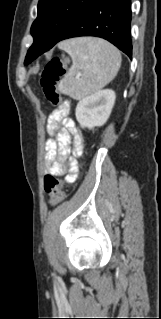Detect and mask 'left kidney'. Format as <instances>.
<instances>
[{"instance_id":"5707ae66","label":"left kidney","mask_w":161,"mask_h":319,"mask_svg":"<svg viewBox=\"0 0 161 319\" xmlns=\"http://www.w3.org/2000/svg\"><path fill=\"white\" fill-rule=\"evenodd\" d=\"M116 99L111 89L98 91L77 104L75 115L82 128L100 127L108 120Z\"/></svg>"}]
</instances>
